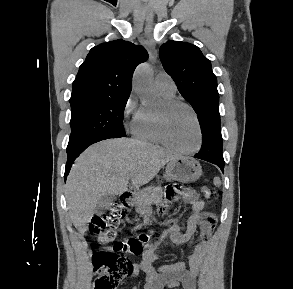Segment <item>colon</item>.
<instances>
[{
    "label": "colon",
    "instance_id": "5ec220e1",
    "mask_svg": "<svg viewBox=\"0 0 293 289\" xmlns=\"http://www.w3.org/2000/svg\"><path fill=\"white\" fill-rule=\"evenodd\" d=\"M185 191L186 188L182 185H169L166 189L167 202L159 207L158 213L166 215L171 205ZM201 191L206 198H212L215 195L208 186H203ZM122 214L123 210L119 204L112 205L106 213L92 219L91 233L102 243L115 242L118 235L117 225ZM149 238L148 234H140L118 241L111 248L98 251L93 257L96 272L94 289H115L119 281L134 270L127 256L141 255L146 250Z\"/></svg>",
    "mask_w": 293,
    "mask_h": 289
}]
</instances>
